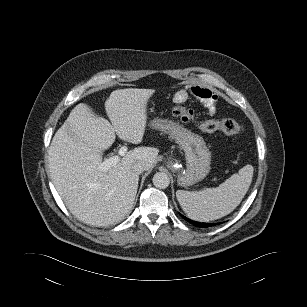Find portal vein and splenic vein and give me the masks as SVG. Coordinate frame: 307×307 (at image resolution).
Here are the masks:
<instances>
[{"mask_svg":"<svg viewBox=\"0 0 307 307\" xmlns=\"http://www.w3.org/2000/svg\"><path fill=\"white\" fill-rule=\"evenodd\" d=\"M127 146H121V148L118 151V154L120 156H124L127 153ZM119 162V156L115 155L112 156L108 159H105L99 166L98 168L101 171H108L112 166L116 165Z\"/></svg>","mask_w":307,"mask_h":307,"instance_id":"18ae733b","label":"portal vein and splenic vein"}]
</instances>
